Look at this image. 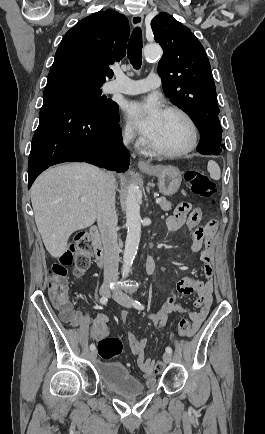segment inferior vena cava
Masks as SVG:
<instances>
[{"instance_id": "inferior-vena-cava-1", "label": "inferior vena cava", "mask_w": 265, "mask_h": 434, "mask_svg": "<svg viewBox=\"0 0 265 434\" xmlns=\"http://www.w3.org/2000/svg\"><path fill=\"white\" fill-rule=\"evenodd\" d=\"M129 136H124L128 144ZM96 190L99 194L97 224L100 230L104 250V280L117 282L119 266L118 228L115 212V178L111 172H100Z\"/></svg>"}]
</instances>
